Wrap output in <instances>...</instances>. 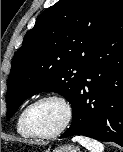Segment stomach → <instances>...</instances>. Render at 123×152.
I'll list each match as a JSON object with an SVG mask.
<instances>
[{"label":"stomach","mask_w":123,"mask_h":152,"mask_svg":"<svg viewBox=\"0 0 123 152\" xmlns=\"http://www.w3.org/2000/svg\"><path fill=\"white\" fill-rule=\"evenodd\" d=\"M53 152H80V150L72 145H62L57 147Z\"/></svg>","instance_id":"0dacf381"}]
</instances>
